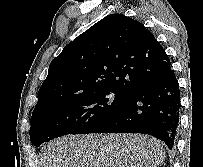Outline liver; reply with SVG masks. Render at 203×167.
Segmentation results:
<instances>
[{
	"instance_id": "6515ba94",
	"label": "liver",
	"mask_w": 203,
	"mask_h": 167,
	"mask_svg": "<svg viewBox=\"0 0 203 167\" xmlns=\"http://www.w3.org/2000/svg\"><path fill=\"white\" fill-rule=\"evenodd\" d=\"M165 159L159 140L140 134L68 135L46 144L39 167H158Z\"/></svg>"
}]
</instances>
